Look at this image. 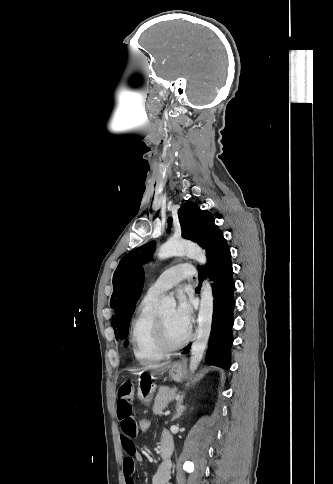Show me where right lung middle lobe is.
Masks as SVG:
<instances>
[{
  "label": "right lung middle lobe",
  "mask_w": 333,
  "mask_h": 484,
  "mask_svg": "<svg viewBox=\"0 0 333 484\" xmlns=\"http://www.w3.org/2000/svg\"><path fill=\"white\" fill-rule=\"evenodd\" d=\"M129 322H130V321H127V322H126V324L124 325V327H123V329H122V331H121V333H120V338H121V339L126 338V336H127V334H128V326H129ZM124 345H125V347H126V346L128 345V342H127V341H125Z\"/></svg>",
  "instance_id": "dd1d6c3e"
}]
</instances>
